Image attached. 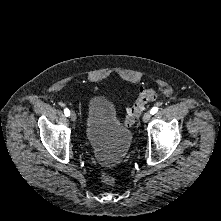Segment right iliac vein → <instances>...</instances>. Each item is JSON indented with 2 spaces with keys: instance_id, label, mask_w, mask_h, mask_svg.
Returning <instances> with one entry per match:
<instances>
[{
  "instance_id": "obj_1",
  "label": "right iliac vein",
  "mask_w": 221,
  "mask_h": 221,
  "mask_svg": "<svg viewBox=\"0 0 221 221\" xmlns=\"http://www.w3.org/2000/svg\"><path fill=\"white\" fill-rule=\"evenodd\" d=\"M70 118H71L72 121H75V120H76L77 117H76L75 112L72 111V112L70 113Z\"/></svg>"
}]
</instances>
